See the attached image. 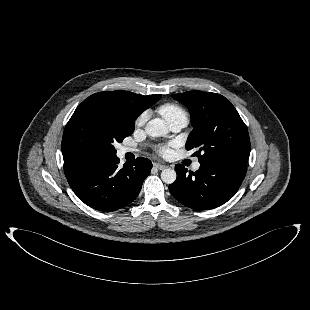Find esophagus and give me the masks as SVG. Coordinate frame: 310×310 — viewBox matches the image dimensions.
Listing matches in <instances>:
<instances>
[{
	"label": "esophagus",
	"mask_w": 310,
	"mask_h": 310,
	"mask_svg": "<svg viewBox=\"0 0 310 310\" xmlns=\"http://www.w3.org/2000/svg\"><path fill=\"white\" fill-rule=\"evenodd\" d=\"M154 167L157 168L158 170H163L165 169L167 166L164 164H160V163H154Z\"/></svg>",
	"instance_id": "34e87169"
}]
</instances>
